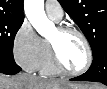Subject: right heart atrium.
Masks as SVG:
<instances>
[{"label":"right heart atrium","mask_w":107,"mask_h":89,"mask_svg":"<svg viewBox=\"0 0 107 89\" xmlns=\"http://www.w3.org/2000/svg\"><path fill=\"white\" fill-rule=\"evenodd\" d=\"M45 52L44 40L28 21H24L13 39V55L16 62L25 70H38Z\"/></svg>","instance_id":"right-heart-atrium-1"}]
</instances>
